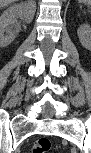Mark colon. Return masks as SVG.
<instances>
[{
	"mask_svg": "<svg viewBox=\"0 0 91 153\" xmlns=\"http://www.w3.org/2000/svg\"><path fill=\"white\" fill-rule=\"evenodd\" d=\"M51 148V142L48 138L36 139L31 145L32 153H47Z\"/></svg>",
	"mask_w": 91,
	"mask_h": 153,
	"instance_id": "5ec220e1",
	"label": "colon"
}]
</instances>
